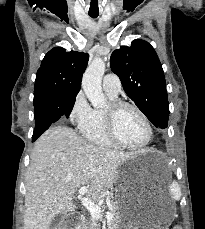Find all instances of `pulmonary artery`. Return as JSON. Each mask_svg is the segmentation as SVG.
I'll return each mask as SVG.
<instances>
[{
	"label": "pulmonary artery",
	"mask_w": 205,
	"mask_h": 229,
	"mask_svg": "<svg viewBox=\"0 0 205 229\" xmlns=\"http://www.w3.org/2000/svg\"><path fill=\"white\" fill-rule=\"evenodd\" d=\"M103 90L105 93L117 97L119 92L121 91V83L115 74H107L103 78Z\"/></svg>",
	"instance_id": "e3ab8cb5"
}]
</instances>
